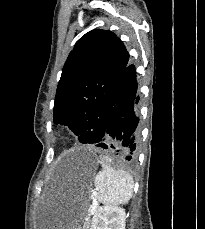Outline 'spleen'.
<instances>
[{
  "mask_svg": "<svg viewBox=\"0 0 205 229\" xmlns=\"http://www.w3.org/2000/svg\"><path fill=\"white\" fill-rule=\"evenodd\" d=\"M102 170L94 178L95 198L106 205L127 204L133 195L134 182L130 174L115 170L110 159L100 156Z\"/></svg>",
  "mask_w": 205,
  "mask_h": 229,
  "instance_id": "1",
  "label": "spleen"
}]
</instances>
